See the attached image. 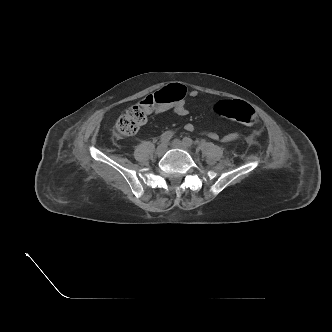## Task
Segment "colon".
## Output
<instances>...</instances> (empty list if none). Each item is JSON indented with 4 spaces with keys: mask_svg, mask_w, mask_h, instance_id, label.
Returning a JSON list of instances; mask_svg holds the SVG:
<instances>
[{
    "mask_svg": "<svg viewBox=\"0 0 332 332\" xmlns=\"http://www.w3.org/2000/svg\"><path fill=\"white\" fill-rule=\"evenodd\" d=\"M186 89L181 84H170L147 96L141 103L128 108L117 120L113 134L118 139L130 137L137 133L145 124L149 111L154 105L165 106L181 101ZM213 113L222 118L254 126L258 123L255 110L248 103L241 100H222L215 104ZM254 141V137H250Z\"/></svg>",
    "mask_w": 332,
    "mask_h": 332,
    "instance_id": "5ec220e1",
    "label": "colon"
}]
</instances>
